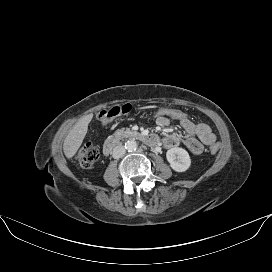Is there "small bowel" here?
Instances as JSON below:
<instances>
[{"instance_id":"small-bowel-1","label":"small bowel","mask_w":272,"mask_h":272,"mask_svg":"<svg viewBox=\"0 0 272 272\" xmlns=\"http://www.w3.org/2000/svg\"><path fill=\"white\" fill-rule=\"evenodd\" d=\"M157 124L160 127H167L170 120L167 118H157ZM186 136L183 143L186 148L193 154L199 155L203 152L204 145H211L216 142V135L211 128L204 123H194L189 119L179 121ZM164 145L168 148L176 147L180 144L181 138L176 133H169L164 139Z\"/></svg>"}]
</instances>
